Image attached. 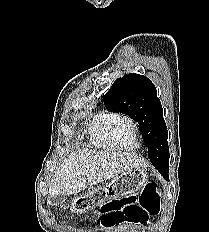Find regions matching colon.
<instances>
[{"label": "colon", "mask_w": 209, "mask_h": 232, "mask_svg": "<svg viewBox=\"0 0 209 232\" xmlns=\"http://www.w3.org/2000/svg\"><path fill=\"white\" fill-rule=\"evenodd\" d=\"M102 224L106 226H131L145 223L160 211V196L156 185L147 182L139 194L129 195L101 206Z\"/></svg>", "instance_id": "obj_1"}]
</instances>
